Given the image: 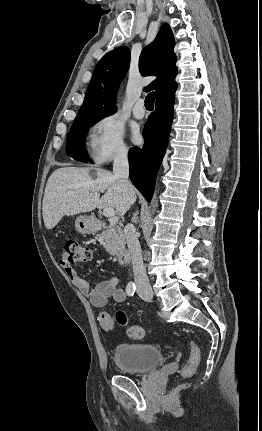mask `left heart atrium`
<instances>
[{
    "label": "left heart atrium",
    "instance_id": "left-heart-atrium-1",
    "mask_svg": "<svg viewBox=\"0 0 262 431\" xmlns=\"http://www.w3.org/2000/svg\"><path fill=\"white\" fill-rule=\"evenodd\" d=\"M140 140H141V136H140V134H139L137 131H135V132L133 133V141H134L135 143H139V142H140Z\"/></svg>",
    "mask_w": 262,
    "mask_h": 431
}]
</instances>
